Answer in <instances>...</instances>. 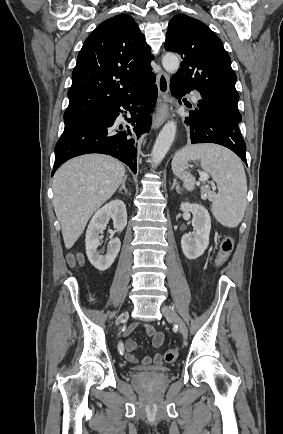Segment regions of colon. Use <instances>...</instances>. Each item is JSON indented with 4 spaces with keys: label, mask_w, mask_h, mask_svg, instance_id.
<instances>
[{
    "label": "colon",
    "mask_w": 283,
    "mask_h": 434,
    "mask_svg": "<svg viewBox=\"0 0 283 434\" xmlns=\"http://www.w3.org/2000/svg\"><path fill=\"white\" fill-rule=\"evenodd\" d=\"M233 248H234V237L232 235L224 236L220 242L218 253L215 259V265L217 267H221L227 262V260L229 259L233 251ZM70 262L72 265H75L76 263L79 262V258L72 257L70 259ZM177 357H178V350L176 348L168 349L164 353V360L168 363L175 361Z\"/></svg>",
    "instance_id": "5ec220e1"
}]
</instances>
